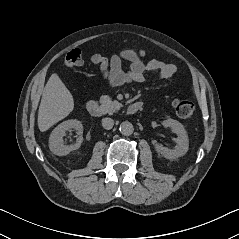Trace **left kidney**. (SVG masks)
<instances>
[{"mask_svg": "<svg viewBox=\"0 0 239 239\" xmlns=\"http://www.w3.org/2000/svg\"><path fill=\"white\" fill-rule=\"evenodd\" d=\"M164 127L171 128L177 134L175 142L177 145L173 149H169L162 145H156L155 150L167 159H177L184 156L189 148V139L183 125L174 119H166L162 122Z\"/></svg>", "mask_w": 239, "mask_h": 239, "instance_id": "5707ae66", "label": "left kidney"}]
</instances>
